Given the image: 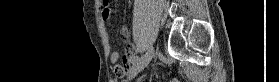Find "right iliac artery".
Listing matches in <instances>:
<instances>
[{"label":"right iliac artery","instance_id":"1","mask_svg":"<svg viewBox=\"0 0 279 82\" xmlns=\"http://www.w3.org/2000/svg\"><path fill=\"white\" fill-rule=\"evenodd\" d=\"M139 60H140V57H139V56H136V57L134 58L133 65H135V63L138 62Z\"/></svg>","mask_w":279,"mask_h":82}]
</instances>
